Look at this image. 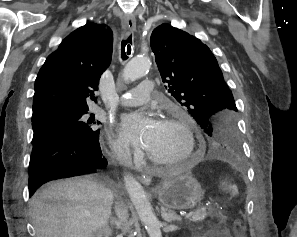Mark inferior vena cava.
<instances>
[{"label": "inferior vena cava", "mask_w": 297, "mask_h": 237, "mask_svg": "<svg viewBox=\"0 0 297 237\" xmlns=\"http://www.w3.org/2000/svg\"><path fill=\"white\" fill-rule=\"evenodd\" d=\"M115 212L119 218L120 223L122 224V231L123 233L131 234L130 223L128 222V209L123 202H116L115 203ZM131 237V236H129Z\"/></svg>", "instance_id": "1"}]
</instances>
